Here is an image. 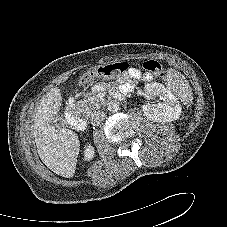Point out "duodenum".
Instances as JSON below:
<instances>
[{"mask_svg": "<svg viewBox=\"0 0 227 227\" xmlns=\"http://www.w3.org/2000/svg\"><path fill=\"white\" fill-rule=\"evenodd\" d=\"M65 117L71 126L77 131H83L87 128V121L76 114L75 105H68L65 109Z\"/></svg>", "mask_w": 227, "mask_h": 227, "instance_id": "duodenum-1", "label": "duodenum"}]
</instances>
